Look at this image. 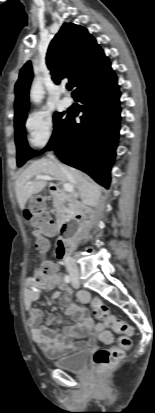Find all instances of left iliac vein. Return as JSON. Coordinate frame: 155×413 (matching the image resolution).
Instances as JSON below:
<instances>
[{"instance_id": "1", "label": "left iliac vein", "mask_w": 155, "mask_h": 413, "mask_svg": "<svg viewBox=\"0 0 155 413\" xmlns=\"http://www.w3.org/2000/svg\"><path fill=\"white\" fill-rule=\"evenodd\" d=\"M72 286H73L75 289L79 288V287H80V282H79V280L76 279V278H73V279H72Z\"/></svg>"}]
</instances>
